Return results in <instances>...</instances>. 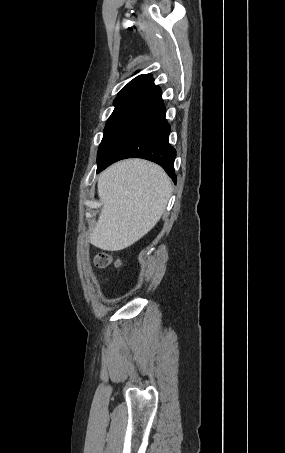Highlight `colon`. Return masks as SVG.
Segmentation results:
<instances>
[{
  "instance_id": "colon-1",
  "label": "colon",
  "mask_w": 285,
  "mask_h": 453,
  "mask_svg": "<svg viewBox=\"0 0 285 453\" xmlns=\"http://www.w3.org/2000/svg\"><path fill=\"white\" fill-rule=\"evenodd\" d=\"M95 265L99 268H105L110 265L119 266L120 261L113 258V256L107 252H100L95 256Z\"/></svg>"
}]
</instances>
